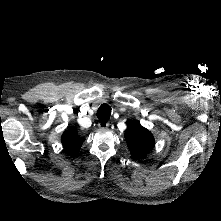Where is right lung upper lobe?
Masks as SVG:
<instances>
[{"instance_id":"cb5924a9","label":"right lung upper lobe","mask_w":221,"mask_h":221,"mask_svg":"<svg viewBox=\"0 0 221 221\" xmlns=\"http://www.w3.org/2000/svg\"><path fill=\"white\" fill-rule=\"evenodd\" d=\"M61 141L69 153H76L81 148L84 138L80 137L77 130L73 128L63 133Z\"/></svg>"}]
</instances>
